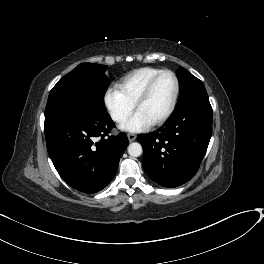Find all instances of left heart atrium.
<instances>
[{
  "label": "left heart atrium",
  "mask_w": 264,
  "mask_h": 264,
  "mask_svg": "<svg viewBox=\"0 0 264 264\" xmlns=\"http://www.w3.org/2000/svg\"><path fill=\"white\" fill-rule=\"evenodd\" d=\"M151 122L140 112L133 114L122 124V128L131 132H137L146 129Z\"/></svg>",
  "instance_id": "39dd6f15"
}]
</instances>
